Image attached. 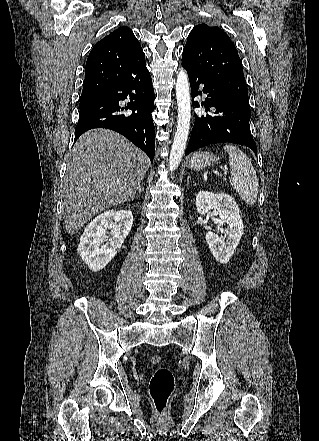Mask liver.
Returning a JSON list of instances; mask_svg holds the SVG:
<instances>
[{"label":"liver","instance_id":"1","mask_svg":"<svg viewBox=\"0 0 319 441\" xmlns=\"http://www.w3.org/2000/svg\"><path fill=\"white\" fill-rule=\"evenodd\" d=\"M149 165L144 152L114 131L92 129L81 135L68 155L62 183L67 233H77L99 212L130 201Z\"/></svg>","mask_w":319,"mask_h":441}]
</instances>
